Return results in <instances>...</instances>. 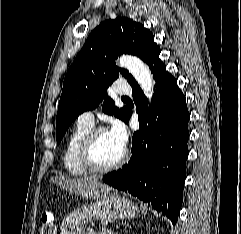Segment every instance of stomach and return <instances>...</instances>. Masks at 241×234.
I'll return each instance as SVG.
<instances>
[{"label":"stomach","mask_w":241,"mask_h":234,"mask_svg":"<svg viewBox=\"0 0 241 234\" xmlns=\"http://www.w3.org/2000/svg\"><path fill=\"white\" fill-rule=\"evenodd\" d=\"M137 211L131 200L108 192L65 217L61 234H85V225L93 219H131Z\"/></svg>","instance_id":"stomach-1"}]
</instances>
